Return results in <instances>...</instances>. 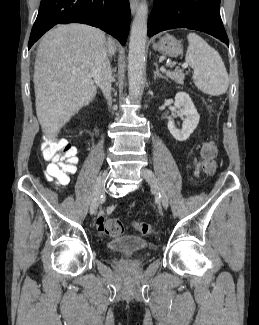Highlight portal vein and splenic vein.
Wrapping results in <instances>:
<instances>
[{
	"mask_svg": "<svg viewBox=\"0 0 259 325\" xmlns=\"http://www.w3.org/2000/svg\"><path fill=\"white\" fill-rule=\"evenodd\" d=\"M188 67V64H186V63H184L183 65H182V68L183 69H186ZM178 71H181V70H178Z\"/></svg>",
	"mask_w": 259,
	"mask_h": 325,
	"instance_id": "1",
	"label": "portal vein and splenic vein"
}]
</instances>
